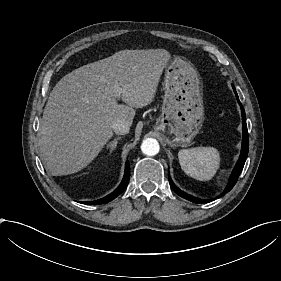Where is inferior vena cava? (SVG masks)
Masks as SVG:
<instances>
[{
  "instance_id": "602c4592",
  "label": "inferior vena cava",
  "mask_w": 281,
  "mask_h": 281,
  "mask_svg": "<svg viewBox=\"0 0 281 281\" xmlns=\"http://www.w3.org/2000/svg\"><path fill=\"white\" fill-rule=\"evenodd\" d=\"M112 130L117 135H126L130 131V123L125 120H118L113 123Z\"/></svg>"
}]
</instances>
